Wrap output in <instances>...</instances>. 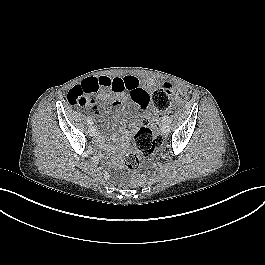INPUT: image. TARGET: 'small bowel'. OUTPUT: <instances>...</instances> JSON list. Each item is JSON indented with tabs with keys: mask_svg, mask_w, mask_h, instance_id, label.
I'll return each instance as SVG.
<instances>
[{
	"mask_svg": "<svg viewBox=\"0 0 265 265\" xmlns=\"http://www.w3.org/2000/svg\"><path fill=\"white\" fill-rule=\"evenodd\" d=\"M88 81L96 83L97 90L95 92L100 100H109L112 94H115L116 97L112 101V106L114 107H121L129 98L134 101V106L137 111L134 112L133 126L137 127L140 125L143 119V112L148 110L152 101L150 93L155 86L153 81L141 83L135 76H100ZM80 90L86 94V102L83 106H90L95 113H99L96 97L92 95L95 92H88L87 81L80 85ZM125 136L126 133L123 134V137Z\"/></svg>",
	"mask_w": 265,
	"mask_h": 265,
	"instance_id": "c3829d8e",
	"label": "small bowel"
}]
</instances>
